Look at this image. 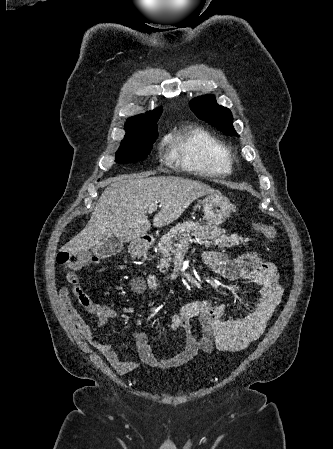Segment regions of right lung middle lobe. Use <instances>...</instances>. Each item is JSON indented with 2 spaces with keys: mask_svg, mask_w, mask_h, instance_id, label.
<instances>
[{
  "mask_svg": "<svg viewBox=\"0 0 333 449\" xmlns=\"http://www.w3.org/2000/svg\"><path fill=\"white\" fill-rule=\"evenodd\" d=\"M158 118L148 120L142 130L143 137L133 140H123L116 152L117 163H134L147 157L150 154L154 141L157 137V124L154 122Z\"/></svg>",
  "mask_w": 333,
  "mask_h": 449,
  "instance_id": "1",
  "label": "right lung middle lobe"
}]
</instances>
